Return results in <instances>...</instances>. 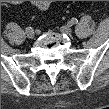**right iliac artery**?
Returning <instances> with one entry per match:
<instances>
[{"label":"right iliac artery","instance_id":"right-iliac-artery-1","mask_svg":"<svg viewBox=\"0 0 109 109\" xmlns=\"http://www.w3.org/2000/svg\"><path fill=\"white\" fill-rule=\"evenodd\" d=\"M30 29H32V27L28 26V27L26 28V31H27V30H30Z\"/></svg>","mask_w":109,"mask_h":109}]
</instances>
